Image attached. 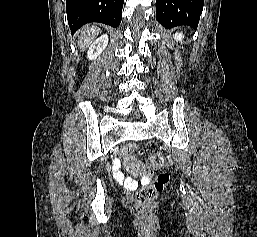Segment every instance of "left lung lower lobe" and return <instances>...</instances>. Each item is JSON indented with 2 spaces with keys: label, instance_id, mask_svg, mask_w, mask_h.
<instances>
[{
  "label": "left lung lower lobe",
  "instance_id": "1",
  "mask_svg": "<svg viewBox=\"0 0 257 237\" xmlns=\"http://www.w3.org/2000/svg\"><path fill=\"white\" fill-rule=\"evenodd\" d=\"M204 0H156V19L166 28L187 25L197 29Z\"/></svg>",
  "mask_w": 257,
  "mask_h": 237
}]
</instances>
